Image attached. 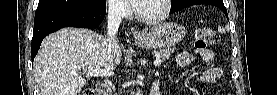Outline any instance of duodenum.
<instances>
[{
    "label": "duodenum",
    "mask_w": 277,
    "mask_h": 95,
    "mask_svg": "<svg viewBox=\"0 0 277 95\" xmlns=\"http://www.w3.org/2000/svg\"><path fill=\"white\" fill-rule=\"evenodd\" d=\"M97 93L100 95H110L111 88L108 83H100L97 85ZM160 81L155 80L151 84L150 95H160Z\"/></svg>",
    "instance_id": "duodenum-1"
}]
</instances>
